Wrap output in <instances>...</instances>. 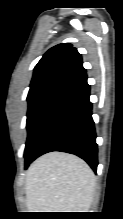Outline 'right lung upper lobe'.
Instances as JSON below:
<instances>
[{
	"instance_id": "right-lung-upper-lobe-1",
	"label": "right lung upper lobe",
	"mask_w": 123,
	"mask_h": 219,
	"mask_svg": "<svg viewBox=\"0 0 123 219\" xmlns=\"http://www.w3.org/2000/svg\"><path fill=\"white\" fill-rule=\"evenodd\" d=\"M85 72L78 51L70 43H62L48 50L35 66L30 89L52 81L71 82Z\"/></svg>"
}]
</instances>
